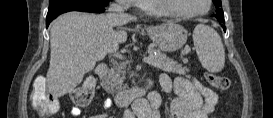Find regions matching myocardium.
Wrapping results in <instances>:
<instances>
[{
    "instance_id": "f54148a6",
    "label": "myocardium",
    "mask_w": 273,
    "mask_h": 118,
    "mask_svg": "<svg viewBox=\"0 0 273 118\" xmlns=\"http://www.w3.org/2000/svg\"><path fill=\"white\" fill-rule=\"evenodd\" d=\"M205 2L206 8L202 11L184 12L178 8L175 0H157V3L161 9L181 18H194L207 14L211 8V0H205Z\"/></svg>"
}]
</instances>
